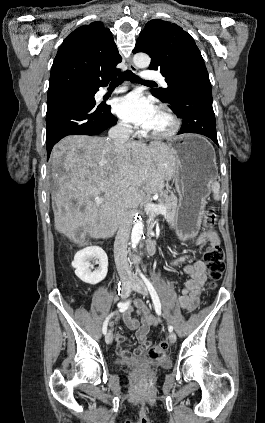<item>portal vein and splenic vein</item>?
<instances>
[{
    "label": "portal vein and splenic vein",
    "mask_w": 265,
    "mask_h": 423,
    "mask_svg": "<svg viewBox=\"0 0 265 423\" xmlns=\"http://www.w3.org/2000/svg\"><path fill=\"white\" fill-rule=\"evenodd\" d=\"M103 198L102 197H96L95 198V203L97 205H101L103 203ZM145 210L147 212H152L155 214H165L166 213V207L164 205H159V204H155L152 202H148L145 204Z\"/></svg>",
    "instance_id": "18ae733b"
}]
</instances>
